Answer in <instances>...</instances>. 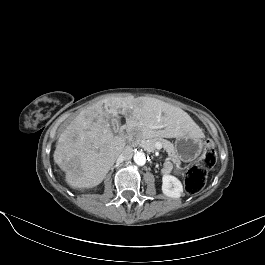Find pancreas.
I'll list each match as a JSON object with an SVG mask.
<instances>
[{"label":"pancreas","instance_id":"1","mask_svg":"<svg viewBox=\"0 0 265 265\" xmlns=\"http://www.w3.org/2000/svg\"><path fill=\"white\" fill-rule=\"evenodd\" d=\"M156 143H160L162 147L166 150L168 153L169 158L175 163L179 164V159L175 152L174 145L169 142L168 140H165L163 138L155 137L148 140L145 139H139L138 144L143 149L147 150L148 152H154Z\"/></svg>","mask_w":265,"mask_h":265}]
</instances>
